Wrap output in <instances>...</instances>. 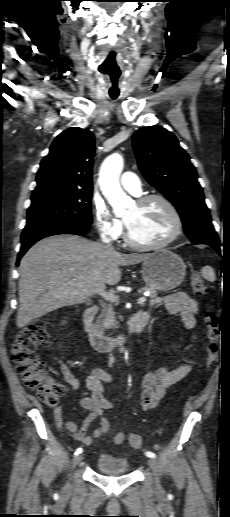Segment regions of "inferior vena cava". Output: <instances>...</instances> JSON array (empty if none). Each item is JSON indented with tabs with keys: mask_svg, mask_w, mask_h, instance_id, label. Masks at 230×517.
<instances>
[{
	"mask_svg": "<svg viewBox=\"0 0 230 517\" xmlns=\"http://www.w3.org/2000/svg\"><path fill=\"white\" fill-rule=\"evenodd\" d=\"M102 241L107 244V246H111L110 240L107 238H103Z\"/></svg>",
	"mask_w": 230,
	"mask_h": 517,
	"instance_id": "602c4592",
	"label": "inferior vena cava"
}]
</instances>
